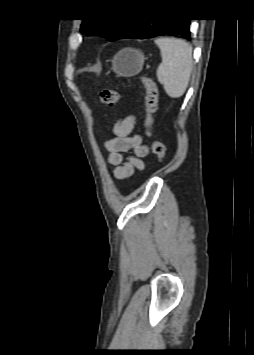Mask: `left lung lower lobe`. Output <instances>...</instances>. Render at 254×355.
<instances>
[{"mask_svg":"<svg viewBox=\"0 0 254 355\" xmlns=\"http://www.w3.org/2000/svg\"><path fill=\"white\" fill-rule=\"evenodd\" d=\"M189 25L190 19L188 18H132L117 39H146L160 35H170L190 40Z\"/></svg>","mask_w":254,"mask_h":355,"instance_id":"obj_1","label":"left lung lower lobe"}]
</instances>
